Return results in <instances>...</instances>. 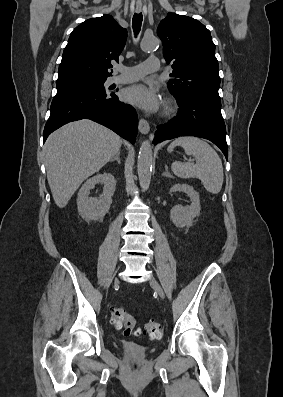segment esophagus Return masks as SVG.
Instances as JSON below:
<instances>
[{
    "instance_id": "34e87169",
    "label": "esophagus",
    "mask_w": 283,
    "mask_h": 397,
    "mask_svg": "<svg viewBox=\"0 0 283 397\" xmlns=\"http://www.w3.org/2000/svg\"><path fill=\"white\" fill-rule=\"evenodd\" d=\"M141 11H142V5H137V6H136V12H137V13H140ZM138 129H139V131H140L142 134H144V135L149 134V132H150V125H149L148 121L145 120V119H143V118H141V119L139 120V123H138ZM150 138H153V134H150Z\"/></svg>"
}]
</instances>
